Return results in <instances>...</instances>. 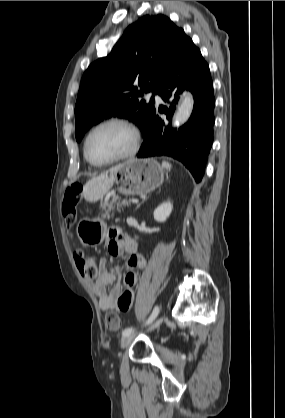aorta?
Segmentation results:
<instances>
[{
  "label": "aorta",
  "mask_w": 285,
  "mask_h": 418,
  "mask_svg": "<svg viewBox=\"0 0 285 418\" xmlns=\"http://www.w3.org/2000/svg\"><path fill=\"white\" fill-rule=\"evenodd\" d=\"M194 100L190 92L185 91L179 106L177 107L176 113L173 117V126L179 127L180 125L187 122L190 118L193 110Z\"/></svg>",
  "instance_id": "obj_1"
}]
</instances>
